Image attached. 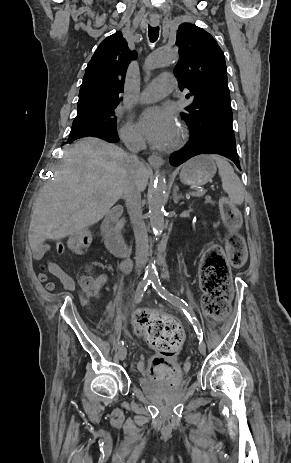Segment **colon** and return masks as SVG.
Here are the masks:
<instances>
[{
    "instance_id": "1",
    "label": "colon",
    "mask_w": 291,
    "mask_h": 463,
    "mask_svg": "<svg viewBox=\"0 0 291 463\" xmlns=\"http://www.w3.org/2000/svg\"><path fill=\"white\" fill-rule=\"evenodd\" d=\"M220 210L228 227L235 229L239 226V211L228 199L221 200ZM90 240L91 233L86 229H79L68 239V248L75 253L83 252ZM243 261V241L235 233L228 235L225 249L220 245H213L204 254L200 265V284L203 292L202 305L210 317L221 319L228 313L232 294L229 262L241 265ZM98 286V278L93 276H87L82 281V290L86 297L93 296ZM136 327L158 352L151 365L152 375L177 376L178 367L172 359L184 339L181 326L171 319L142 312L136 318Z\"/></svg>"
}]
</instances>
